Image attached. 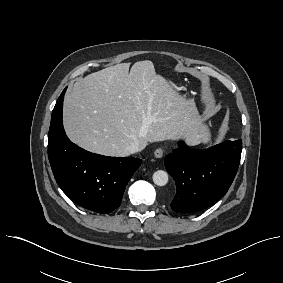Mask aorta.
Wrapping results in <instances>:
<instances>
[{"label": "aorta", "mask_w": 283, "mask_h": 283, "mask_svg": "<svg viewBox=\"0 0 283 283\" xmlns=\"http://www.w3.org/2000/svg\"><path fill=\"white\" fill-rule=\"evenodd\" d=\"M153 182L158 186H164L168 183V174L163 170H158L153 174Z\"/></svg>", "instance_id": "762f6f07"}]
</instances>
